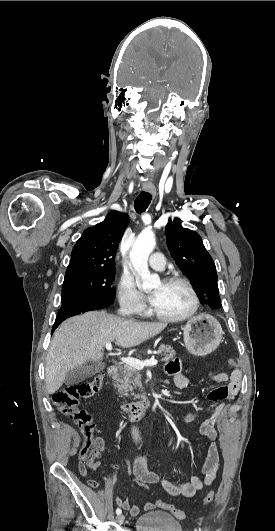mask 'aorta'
<instances>
[{
  "mask_svg": "<svg viewBox=\"0 0 275 531\" xmlns=\"http://www.w3.org/2000/svg\"><path fill=\"white\" fill-rule=\"evenodd\" d=\"M155 245L156 239L153 231H142L138 235L129 255L134 271L141 277L144 291L156 289V287L161 285L159 275H151L148 269L149 255L155 249Z\"/></svg>",
  "mask_w": 275,
  "mask_h": 531,
  "instance_id": "aorta-1",
  "label": "aorta"
}]
</instances>
